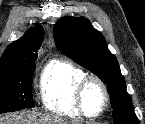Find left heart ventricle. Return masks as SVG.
Here are the masks:
<instances>
[{
    "mask_svg": "<svg viewBox=\"0 0 145 124\" xmlns=\"http://www.w3.org/2000/svg\"><path fill=\"white\" fill-rule=\"evenodd\" d=\"M103 103V93L96 84H91L85 93L84 104L89 114L97 113Z\"/></svg>",
    "mask_w": 145,
    "mask_h": 124,
    "instance_id": "1",
    "label": "left heart ventricle"
}]
</instances>
